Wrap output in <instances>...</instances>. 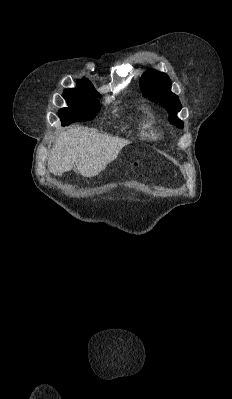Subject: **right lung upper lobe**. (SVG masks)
Listing matches in <instances>:
<instances>
[{
	"instance_id": "1",
	"label": "right lung upper lobe",
	"mask_w": 232,
	"mask_h": 399,
	"mask_svg": "<svg viewBox=\"0 0 232 399\" xmlns=\"http://www.w3.org/2000/svg\"><path fill=\"white\" fill-rule=\"evenodd\" d=\"M77 88L64 90L63 95H99L89 79L77 80Z\"/></svg>"
}]
</instances>
